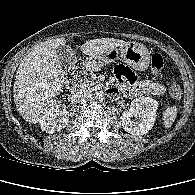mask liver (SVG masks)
<instances>
[{
    "instance_id": "6515ba94",
    "label": "liver",
    "mask_w": 195,
    "mask_h": 195,
    "mask_svg": "<svg viewBox=\"0 0 195 195\" xmlns=\"http://www.w3.org/2000/svg\"><path fill=\"white\" fill-rule=\"evenodd\" d=\"M64 38L45 41L34 47L21 61L15 76L13 97L19 114L31 124L40 123L62 91L65 71L56 53ZM129 42L115 38L85 42L81 51L90 57L103 56Z\"/></svg>"
}]
</instances>
